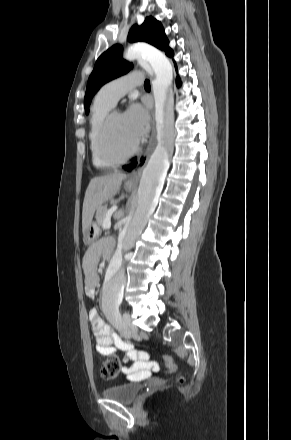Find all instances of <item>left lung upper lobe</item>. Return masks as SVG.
Masks as SVG:
<instances>
[{"mask_svg": "<svg viewBox=\"0 0 291 440\" xmlns=\"http://www.w3.org/2000/svg\"><path fill=\"white\" fill-rule=\"evenodd\" d=\"M128 40L130 42L144 41L165 51L169 57L174 55L173 50L168 45L169 41L161 23L151 16L147 17L141 26L134 25L131 28ZM131 68L132 64L122 58L121 45H113L104 52L97 59L93 72L88 79L84 97L85 113H89L91 100L102 85L126 74Z\"/></svg>", "mask_w": 291, "mask_h": 440, "instance_id": "left-lung-upper-lobe-1", "label": "left lung upper lobe"}]
</instances>
